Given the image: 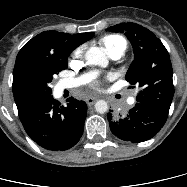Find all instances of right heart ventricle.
<instances>
[{"label": "right heart ventricle", "mask_w": 187, "mask_h": 187, "mask_svg": "<svg viewBox=\"0 0 187 187\" xmlns=\"http://www.w3.org/2000/svg\"><path fill=\"white\" fill-rule=\"evenodd\" d=\"M100 43L104 46L108 54L112 52H125L127 43L125 39L119 35H106L101 38Z\"/></svg>", "instance_id": "right-heart-ventricle-1"}]
</instances>
